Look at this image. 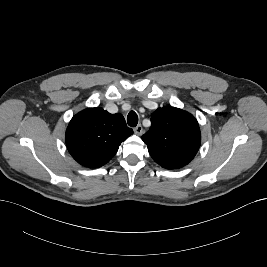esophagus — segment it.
Masks as SVG:
<instances>
[{
	"mask_svg": "<svg viewBox=\"0 0 267 267\" xmlns=\"http://www.w3.org/2000/svg\"><path fill=\"white\" fill-rule=\"evenodd\" d=\"M134 132H135V134H137V135H141V134H143V127L139 124V125H137L135 128H134Z\"/></svg>",
	"mask_w": 267,
	"mask_h": 267,
	"instance_id": "obj_1",
	"label": "esophagus"
}]
</instances>
